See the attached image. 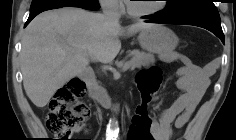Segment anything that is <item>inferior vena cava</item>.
I'll return each mask as SVG.
<instances>
[{
    "label": "inferior vena cava",
    "mask_w": 236,
    "mask_h": 140,
    "mask_svg": "<svg viewBox=\"0 0 236 140\" xmlns=\"http://www.w3.org/2000/svg\"><path fill=\"white\" fill-rule=\"evenodd\" d=\"M103 15L105 19L109 22H118L119 21V15L116 12L113 5L105 4L103 5Z\"/></svg>",
    "instance_id": "1"
}]
</instances>
